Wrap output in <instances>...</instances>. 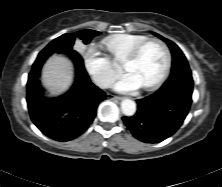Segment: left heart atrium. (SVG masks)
I'll list each match as a JSON object with an SVG mask.
<instances>
[{
    "mask_svg": "<svg viewBox=\"0 0 222 187\" xmlns=\"http://www.w3.org/2000/svg\"><path fill=\"white\" fill-rule=\"evenodd\" d=\"M139 87H141L139 82L133 77V75L127 72L120 76L115 84V89L120 92H132Z\"/></svg>",
    "mask_w": 222,
    "mask_h": 187,
    "instance_id": "39dd6f15",
    "label": "left heart atrium"
}]
</instances>
